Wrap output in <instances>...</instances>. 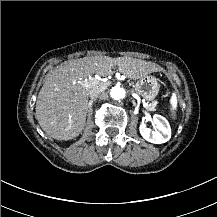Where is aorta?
Returning <instances> with one entry per match:
<instances>
[{
    "mask_svg": "<svg viewBox=\"0 0 217 217\" xmlns=\"http://www.w3.org/2000/svg\"><path fill=\"white\" fill-rule=\"evenodd\" d=\"M110 96L114 100L123 99L125 97V90H124V88H121L119 86H114L110 91Z\"/></svg>",
    "mask_w": 217,
    "mask_h": 217,
    "instance_id": "762f6f07",
    "label": "aorta"
}]
</instances>
